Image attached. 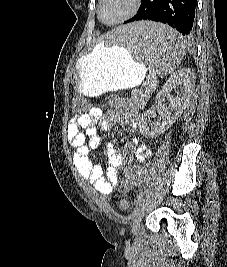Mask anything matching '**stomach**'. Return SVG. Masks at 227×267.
I'll return each instance as SVG.
<instances>
[{"label":"stomach","mask_w":227,"mask_h":267,"mask_svg":"<svg viewBox=\"0 0 227 267\" xmlns=\"http://www.w3.org/2000/svg\"><path fill=\"white\" fill-rule=\"evenodd\" d=\"M147 65L133 55H121L118 43L116 47L96 46L78 59L70 87L86 96L132 87L141 81Z\"/></svg>","instance_id":"stomach-1"}]
</instances>
